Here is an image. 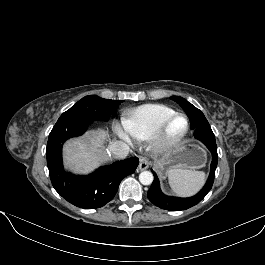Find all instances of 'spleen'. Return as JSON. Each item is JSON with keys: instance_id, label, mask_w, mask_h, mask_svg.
Segmentation results:
<instances>
[{"instance_id": "3e777b00", "label": "spleen", "mask_w": 265, "mask_h": 265, "mask_svg": "<svg viewBox=\"0 0 265 265\" xmlns=\"http://www.w3.org/2000/svg\"><path fill=\"white\" fill-rule=\"evenodd\" d=\"M172 190L179 195H192L204 184L205 173L191 169L175 168L168 172Z\"/></svg>"}]
</instances>
